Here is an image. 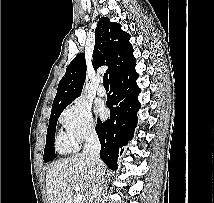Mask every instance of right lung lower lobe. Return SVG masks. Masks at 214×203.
<instances>
[{
    "mask_svg": "<svg viewBox=\"0 0 214 203\" xmlns=\"http://www.w3.org/2000/svg\"><path fill=\"white\" fill-rule=\"evenodd\" d=\"M134 66L110 80L111 95L107 100L110 119L106 122L97 120L96 132L101 143L100 157L113 170L118 167V155L123 151L121 148L133 138L137 125L140 88L136 83L138 74Z\"/></svg>",
    "mask_w": 214,
    "mask_h": 203,
    "instance_id": "98d812e1",
    "label": "right lung lower lobe"
}]
</instances>
